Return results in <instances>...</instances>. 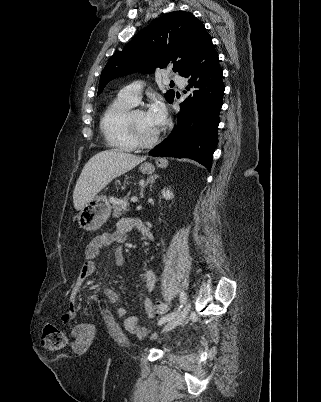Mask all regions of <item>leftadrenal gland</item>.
Masks as SVG:
<instances>
[{
	"mask_svg": "<svg viewBox=\"0 0 321 402\" xmlns=\"http://www.w3.org/2000/svg\"><path fill=\"white\" fill-rule=\"evenodd\" d=\"M159 176L157 174H154L150 177L147 178V181L145 183V185L141 188V192H140V198L144 197V188L149 184H153V182L155 181V179H157Z\"/></svg>",
	"mask_w": 321,
	"mask_h": 402,
	"instance_id": "1",
	"label": "left adrenal gland"
}]
</instances>
